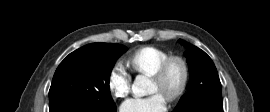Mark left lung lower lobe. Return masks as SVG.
<instances>
[{"instance_id":"1","label":"left lung lower lobe","mask_w":270,"mask_h":112,"mask_svg":"<svg viewBox=\"0 0 270 112\" xmlns=\"http://www.w3.org/2000/svg\"><path fill=\"white\" fill-rule=\"evenodd\" d=\"M178 112H223V106L213 104H196L189 109L181 110Z\"/></svg>"}]
</instances>
